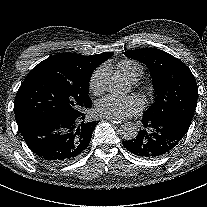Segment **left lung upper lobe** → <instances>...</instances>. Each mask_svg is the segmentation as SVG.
<instances>
[{"mask_svg":"<svg viewBox=\"0 0 207 207\" xmlns=\"http://www.w3.org/2000/svg\"><path fill=\"white\" fill-rule=\"evenodd\" d=\"M124 55L144 63L152 76L154 103L144 116L172 117L190 127L198 88L190 69L179 59L156 48H141Z\"/></svg>","mask_w":207,"mask_h":207,"instance_id":"obj_1","label":"left lung upper lobe"}]
</instances>
